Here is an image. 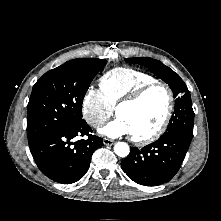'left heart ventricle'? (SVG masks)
<instances>
[{"label": "left heart ventricle", "mask_w": 221, "mask_h": 221, "mask_svg": "<svg viewBox=\"0 0 221 221\" xmlns=\"http://www.w3.org/2000/svg\"><path fill=\"white\" fill-rule=\"evenodd\" d=\"M168 96L164 88L155 87L134 105L122 107L117 116L129 127L131 135L142 137L152 133L167 110Z\"/></svg>", "instance_id": "b2bd125f"}]
</instances>
